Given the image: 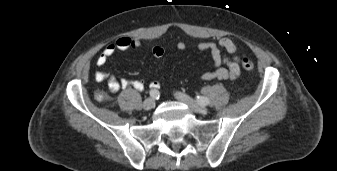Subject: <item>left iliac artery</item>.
<instances>
[{
    "label": "left iliac artery",
    "mask_w": 337,
    "mask_h": 171,
    "mask_svg": "<svg viewBox=\"0 0 337 171\" xmlns=\"http://www.w3.org/2000/svg\"><path fill=\"white\" fill-rule=\"evenodd\" d=\"M196 100L200 105H208L210 103L209 99L203 96H197Z\"/></svg>",
    "instance_id": "1"
}]
</instances>
